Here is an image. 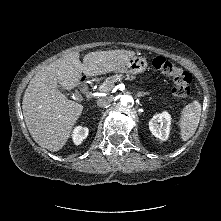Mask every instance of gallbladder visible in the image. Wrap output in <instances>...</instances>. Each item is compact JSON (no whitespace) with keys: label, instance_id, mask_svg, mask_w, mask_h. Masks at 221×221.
I'll use <instances>...</instances> for the list:
<instances>
[{"label":"gallbladder","instance_id":"obj_1","mask_svg":"<svg viewBox=\"0 0 221 221\" xmlns=\"http://www.w3.org/2000/svg\"><path fill=\"white\" fill-rule=\"evenodd\" d=\"M57 87L61 92L65 91V89L60 84H58Z\"/></svg>","mask_w":221,"mask_h":221}]
</instances>
